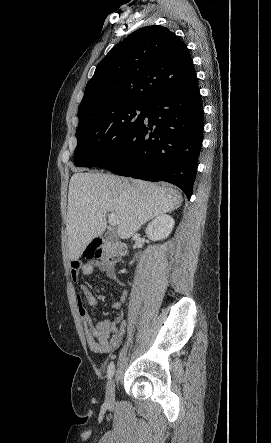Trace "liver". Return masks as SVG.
<instances>
[{"label":"liver","instance_id":"obj_1","mask_svg":"<svg viewBox=\"0 0 271 443\" xmlns=\"http://www.w3.org/2000/svg\"><path fill=\"white\" fill-rule=\"evenodd\" d=\"M178 190L112 174H73L69 182L66 218L68 255L77 261L88 243L102 235L107 214H115L117 233L128 239L143 223L179 208Z\"/></svg>","mask_w":271,"mask_h":443}]
</instances>
